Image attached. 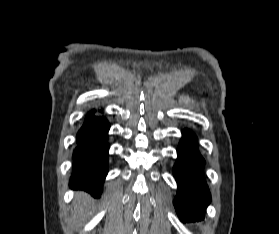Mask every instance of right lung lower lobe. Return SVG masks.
Wrapping results in <instances>:
<instances>
[{"instance_id": "1", "label": "right lung lower lobe", "mask_w": 279, "mask_h": 234, "mask_svg": "<svg viewBox=\"0 0 279 234\" xmlns=\"http://www.w3.org/2000/svg\"><path fill=\"white\" fill-rule=\"evenodd\" d=\"M109 123L106 118L87 114L85 122L77 134V147L73 154V173L70 186L101 195L103 181L108 172L107 133Z\"/></svg>"}]
</instances>
